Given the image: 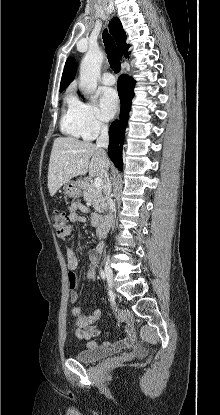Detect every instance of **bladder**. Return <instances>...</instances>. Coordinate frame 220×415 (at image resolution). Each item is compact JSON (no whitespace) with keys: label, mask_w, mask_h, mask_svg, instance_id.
Wrapping results in <instances>:
<instances>
[{"label":"bladder","mask_w":220,"mask_h":415,"mask_svg":"<svg viewBox=\"0 0 220 415\" xmlns=\"http://www.w3.org/2000/svg\"><path fill=\"white\" fill-rule=\"evenodd\" d=\"M114 355V353L103 347H86L76 354V359L80 362H95Z\"/></svg>","instance_id":"obj_1"}]
</instances>
